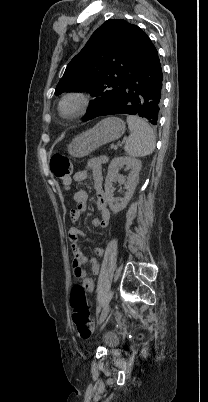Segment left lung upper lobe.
Listing matches in <instances>:
<instances>
[{
	"instance_id": "left-lung-upper-lobe-1",
	"label": "left lung upper lobe",
	"mask_w": 208,
	"mask_h": 402,
	"mask_svg": "<svg viewBox=\"0 0 208 402\" xmlns=\"http://www.w3.org/2000/svg\"><path fill=\"white\" fill-rule=\"evenodd\" d=\"M134 26L124 20H107L67 65L55 94L76 90L94 96L83 121L97 117L112 103L120 85L132 72L134 45L130 38Z\"/></svg>"
}]
</instances>
